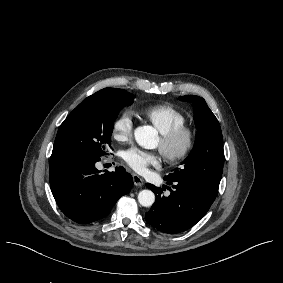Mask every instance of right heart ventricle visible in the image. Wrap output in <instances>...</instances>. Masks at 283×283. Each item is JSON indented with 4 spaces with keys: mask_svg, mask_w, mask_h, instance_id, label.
<instances>
[{
    "mask_svg": "<svg viewBox=\"0 0 283 283\" xmlns=\"http://www.w3.org/2000/svg\"><path fill=\"white\" fill-rule=\"evenodd\" d=\"M138 114L150 122L161 135L176 126L187 123V118L183 113L165 104L143 108L138 111Z\"/></svg>",
    "mask_w": 283,
    "mask_h": 283,
    "instance_id": "e07e8e85",
    "label": "right heart ventricle"
}]
</instances>
